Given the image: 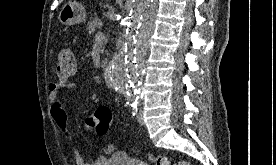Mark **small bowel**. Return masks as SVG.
Returning <instances> with one entry per match:
<instances>
[{"instance_id":"obj_1","label":"small bowel","mask_w":276,"mask_h":165,"mask_svg":"<svg viewBox=\"0 0 276 165\" xmlns=\"http://www.w3.org/2000/svg\"><path fill=\"white\" fill-rule=\"evenodd\" d=\"M76 86L77 85L71 82L69 79L62 78H60L57 82H52L49 84L51 116L57 126L64 133L66 139L72 147L77 165H109L113 158H107L106 156H100L92 161H87L77 148L73 135L68 128V117L64 105L60 99V94L65 88H75Z\"/></svg>"}]
</instances>
